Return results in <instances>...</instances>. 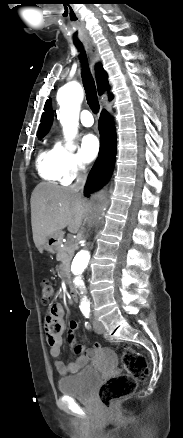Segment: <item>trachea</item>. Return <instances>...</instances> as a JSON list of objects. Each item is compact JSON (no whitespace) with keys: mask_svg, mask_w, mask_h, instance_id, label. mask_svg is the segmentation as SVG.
<instances>
[{"mask_svg":"<svg viewBox=\"0 0 183 438\" xmlns=\"http://www.w3.org/2000/svg\"><path fill=\"white\" fill-rule=\"evenodd\" d=\"M75 45L81 52L80 62L82 63V81L85 89L87 103L94 113H98L100 106L97 97L95 82L88 68L86 53L83 50V46L81 43H75Z\"/></svg>","mask_w":183,"mask_h":438,"instance_id":"1","label":"trachea"}]
</instances>
